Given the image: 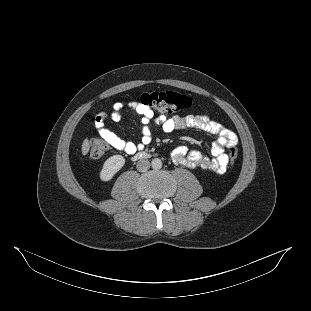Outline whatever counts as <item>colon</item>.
Here are the masks:
<instances>
[{
	"label": "colon",
	"instance_id": "colon-1",
	"mask_svg": "<svg viewBox=\"0 0 311 311\" xmlns=\"http://www.w3.org/2000/svg\"><path fill=\"white\" fill-rule=\"evenodd\" d=\"M140 101L161 113H176L190 107L191 99L183 94L166 92H148L140 96ZM108 149V143L103 139H95L92 142L89 157L93 160L101 158ZM238 158V151L235 146L229 147V162L234 164Z\"/></svg>",
	"mask_w": 311,
	"mask_h": 311
}]
</instances>
